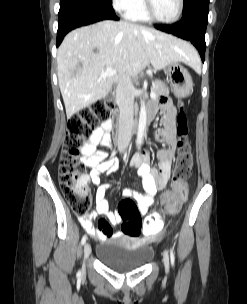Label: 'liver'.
Returning a JSON list of instances; mask_svg holds the SVG:
<instances>
[{
  "label": "liver",
  "instance_id": "6515ba94",
  "mask_svg": "<svg viewBox=\"0 0 247 304\" xmlns=\"http://www.w3.org/2000/svg\"><path fill=\"white\" fill-rule=\"evenodd\" d=\"M177 62L195 68L194 48L142 25L106 20L71 31L57 52L58 83L67 118L107 96L120 74L135 77L150 64L161 70ZM108 67L116 74L101 77Z\"/></svg>",
  "mask_w": 247,
  "mask_h": 304
}]
</instances>
